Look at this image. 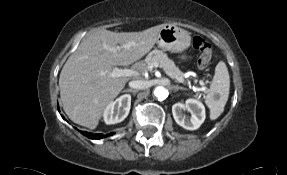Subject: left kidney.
Here are the masks:
<instances>
[{
	"mask_svg": "<svg viewBox=\"0 0 287 175\" xmlns=\"http://www.w3.org/2000/svg\"><path fill=\"white\" fill-rule=\"evenodd\" d=\"M187 110L191 113L188 119L183 111ZM172 113L176 123L187 130H196L205 120V107L196 99H187L185 104L176 103L172 106Z\"/></svg>",
	"mask_w": 287,
	"mask_h": 175,
	"instance_id": "left-kidney-1",
	"label": "left kidney"
}]
</instances>
